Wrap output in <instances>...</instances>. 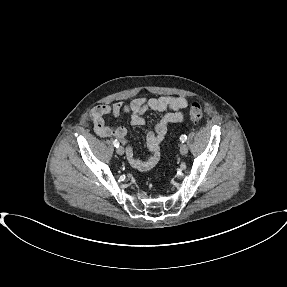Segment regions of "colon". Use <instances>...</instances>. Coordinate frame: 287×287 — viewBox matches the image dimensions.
<instances>
[{
  "label": "colon",
  "instance_id": "1",
  "mask_svg": "<svg viewBox=\"0 0 287 287\" xmlns=\"http://www.w3.org/2000/svg\"><path fill=\"white\" fill-rule=\"evenodd\" d=\"M188 115L193 121H199L203 116V110L199 103L194 102L190 105Z\"/></svg>",
  "mask_w": 287,
  "mask_h": 287
}]
</instances>
